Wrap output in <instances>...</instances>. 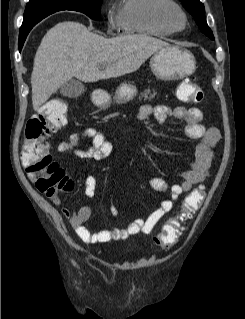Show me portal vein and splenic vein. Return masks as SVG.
<instances>
[{
  "mask_svg": "<svg viewBox=\"0 0 245 319\" xmlns=\"http://www.w3.org/2000/svg\"><path fill=\"white\" fill-rule=\"evenodd\" d=\"M105 67H106V65L103 64L100 66V69H104Z\"/></svg>",
  "mask_w": 245,
  "mask_h": 319,
  "instance_id": "portal-vein-and-splenic-vein-1",
  "label": "portal vein and splenic vein"
}]
</instances>
